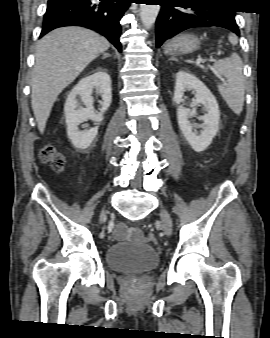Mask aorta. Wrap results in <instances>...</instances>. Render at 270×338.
I'll use <instances>...</instances> for the list:
<instances>
[{"label":"aorta","instance_id":"1","mask_svg":"<svg viewBox=\"0 0 270 338\" xmlns=\"http://www.w3.org/2000/svg\"><path fill=\"white\" fill-rule=\"evenodd\" d=\"M159 10V5L141 4L140 16L142 23L146 28H151L155 23Z\"/></svg>","mask_w":270,"mask_h":338}]
</instances>
